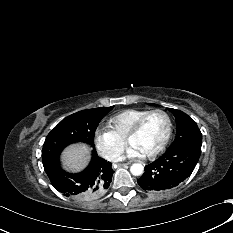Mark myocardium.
Listing matches in <instances>:
<instances>
[{"label":"myocardium","mask_w":233,"mask_h":233,"mask_svg":"<svg viewBox=\"0 0 233 233\" xmlns=\"http://www.w3.org/2000/svg\"><path fill=\"white\" fill-rule=\"evenodd\" d=\"M154 113H161L163 114L166 119H167V133L165 135L164 140L162 141V143L152 152H150L149 154L143 155L145 158H153L155 156H157L159 153H161L166 146L168 145L171 135H172V118L170 116V114L163 110V109H153V110H149L147 111L144 115H142L137 121L136 123L131 127V129L128 131L126 137H125V142L127 144H130V139L135 136L142 128L144 122L146 121V119L154 114Z\"/></svg>","instance_id":"f54148a6"}]
</instances>
